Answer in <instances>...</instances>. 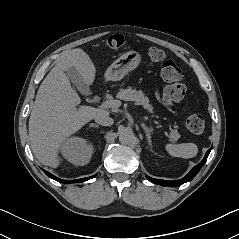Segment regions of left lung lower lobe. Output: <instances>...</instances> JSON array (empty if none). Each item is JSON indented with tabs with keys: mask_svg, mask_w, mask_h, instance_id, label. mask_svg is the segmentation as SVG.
Returning a JSON list of instances; mask_svg holds the SVG:
<instances>
[{
	"mask_svg": "<svg viewBox=\"0 0 239 239\" xmlns=\"http://www.w3.org/2000/svg\"><path fill=\"white\" fill-rule=\"evenodd\" d=\"M212 147L206 152L204 159L195 167H193V169L182 179L180 180H176V181H166V180H159V179H153L149 176H146L147 179L154 183V184H158V185H162V186H167V187H177L180 186L186 182L191 181L199 172V170L201 169V167L204 165V163L206 162L208 155L211 151Z\"/></svg>",
	"mask_w": 239,
	"mask_h": 239,
	"instance_id": "left-lung-lower-lobe-1",
	"label": "left lung lower lobe"
}]
</instances>
